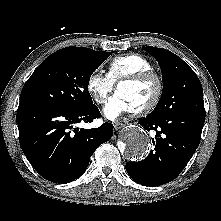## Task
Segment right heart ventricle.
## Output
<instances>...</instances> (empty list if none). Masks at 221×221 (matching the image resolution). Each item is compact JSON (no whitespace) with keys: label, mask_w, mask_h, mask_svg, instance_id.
<instances>
[{"label":"right heart ventricle","mask_w":221,"mask_h":221,"mask_svg":"<svg viewBox=\"0 0 221 221\" xmlns=\"http://www.w3.org/2000/svg\"><path fill=\"white\" fill-rule=\"evenodd\" d=\"M152 63L144 56L136 53H129L113 58L107 68V75L114 83L133 74L152 71Z\"/></svg>","instance_id":"1"}]
</instances>
